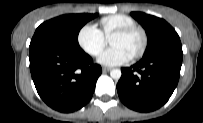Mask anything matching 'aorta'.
Masks as SVG:
<instances>
[{
  "mask_svg": "<svg viewBox=\"0 0 203 123\" xmlns=\"http://www.w3.org/2000/svg\"><path fill=\"white\" fill-rule=\"evenodd\" d=\"M121 70L120 69H112L110 71V76L115 79V80H119L121 78Z\"/></svg>",
  "mask_w": 203,
  "mask_h": 123,
  "instance_id": "762f6f07",
  "label": "aorta"
}]
</instances>
